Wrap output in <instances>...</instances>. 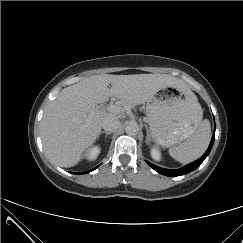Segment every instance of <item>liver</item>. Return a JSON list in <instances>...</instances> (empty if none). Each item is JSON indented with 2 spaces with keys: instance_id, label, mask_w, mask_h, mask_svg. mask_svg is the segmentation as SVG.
Wrapping results in <instances>:
<instances>
[{
  "instance_id": "6515ba94",
  "label": "liver",
  "mask_w": 243,
  "mask_h": 243,
  "mask_svg": "<svg viewBox=\"0 0 243 243\" xmlns=\"http://www.w3.org/2000/svg\"><path fill=\"white\" fill-rule=\"evenodd\" d=\"M166 87L187 89L181 80L165 74L94 75L64 88L41 120L45 153L61 167L75 166L100 135L103 120L116 117L98 110L97 104L114 96L125 104L141 105Z\"/></svg>"
}]
</instances>
